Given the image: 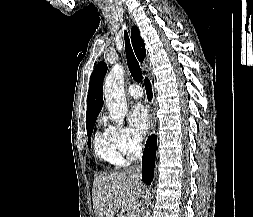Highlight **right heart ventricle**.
Returning <instances> with one entry per match:
<instances>
[{"label": "right heart ventricle", "instance_id": "1", "mask_svg": "<svg viewBox=\"0 0 253 217\" xmlns=\"http://www.w3.org/2000/svg\"><path fill=\"white\" fill-rule=\"evenodd\" d=\"M94 152L101 161L115 166L124 167L127 164L125 156L114 143L107 130H99L94 137Z\"/></svg>", "mask_w": 253, "mask_h": 217}]
</instances>
